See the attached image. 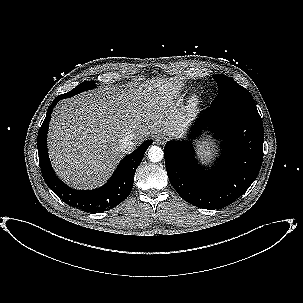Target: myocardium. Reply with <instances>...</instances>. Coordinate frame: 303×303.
Instances as JSON below:
<instances>
[{
    "instance_id": "myocardium-1",
    "label": "myocardium",
    "mask_w": 303,
    "mask_h": 303,
    "mask_svg": "<svg viewBox=\"0 0 303 303\" xmlns=\"http://www.w3.org/2000/svg\"><path fill=\"white\" fill-rule=\"evenodd\" d=\"M197 102H198V97L194 96V97L192 98V103L195 104V103H197Z\"/></svg>"
}]
</instances>
